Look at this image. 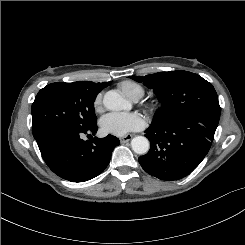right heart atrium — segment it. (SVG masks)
Masks as SVG:
<instances>
[{
    "label": "right heart atrium",
    "instance_id": "1",
    "mask_svg": "<svg viewBox=\"0 0 245 245\" xmlns=\"http://www.w3.org/2000/svg\"><path fill=\"white\" fill-rule=\"evenodd\" d=\"M101 106H102V94H98L93 101V107L95 111L99 112L101 110Z\"/></svg>",
    "mask_w": 245,
    "mask_h": 245
}]
</instances>
